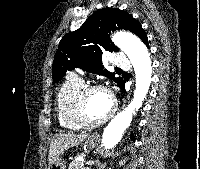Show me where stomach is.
<instances>
[{"mask_svg":"<svg viewBox=\"0 0 200 169\" xmlns=\"http://www.w3.org/2000/svg\"><path fill=\"white\" fill-rule=\"evenodd\" d=\"M97 143V139L94 136H89L85 142V144L89 147H94ZM48 169H66V163L64 159L58 157L57 160L49 166Z\"/></svg>","mask_w":200,"mask_h":169,"instance_id":"0dacf381","label":"stomach"}]
</instances>
